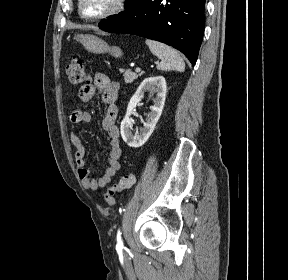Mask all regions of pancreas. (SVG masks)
Instances as JSON below:
<instances>
[{"label": "pancreas", "instance_id": "pancreas-1", "mask_svg": "<svg viewBox=\"0 0 288 280\" xmlns=\"http://www.w3.org/2000/svg\"><path fill=\"white\" fill-rule=\"evenodd\" d=\"M120 73H123L125 83H132L135 79L138 78V76H141V74L138 75L132 72L130 69H120Z\"/></svg>", "mask_w": 288, "mask_h": 280}]
</instances>
